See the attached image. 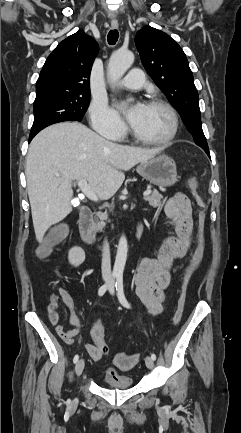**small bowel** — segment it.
<instances>
[{
  "mask_svg": "<svg viewBox=\"0 0 241 433\" xmlns=\"http://www.w3.org/2000/svg\"><path fill=\"white\" fill-rule=\"evenodd\" d=\"M164 212L174 221L176 236L168 238L155 257L139 259L138 271L134 278L138 297L146 310L153 315L159 314L163 309L165 292L171 284L170 270L174 262L188 255L192 243L193 220L189 198L183 193L175 194L166 202ZM59 299L69 312V328H64L59 323ZM47 311L48 318L55 326L59 337L67 343H72L79 332L80 320L70 293L60 287L57 294L51 297ZM91 336L94 344H85V349L93 360L99 361L102 358L99 345L105 342L104 330L99 318L91 325ZM107 372L115 371L109 369Z\"/></svg>",
  "mask_w": 241,
  "mask_h": 433,
  "instance_id": "1",
  "label": "small bowel"
}]
</instances>
